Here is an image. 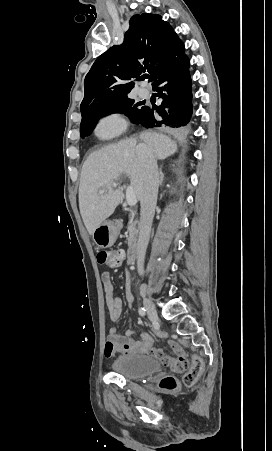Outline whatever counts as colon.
I'll return each instance as SVG.
<instances>
[{
  "instance_id": "5ec220e1",
  "label": "colon",
  "mask_w": 272,
  "mask_h": 451,
  "mask_svg": "<svg viewBox=\"0 0 272 451\" xmlns=\"http://www.w3.org/2000/svg\"><path fill=\"white\" fill-rule=\"evenodd\" d=\"M94 258L96 262L118 268L124 258V251H101L100 253H96ZM177 348L178 345L171 346L172 350H176ZM157 358L161 361L163 367H175L176 370H185L184 382L187 386L194 382L195 374H203L204 371V358H189L187 360L182 352H179L176 358H171L164 353H160ZM175 386L176 380L172 375L165 376L160 380V387L163 390H172Z\"/></svg>"
}]
</instances>
